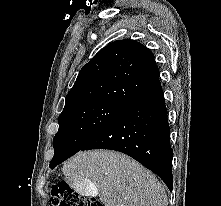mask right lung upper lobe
Wrapping results in <instances>:
<instances>
[{
    "instance_id": "1",
    "label": "right lung upper lobe",
    "mask_w": 221,
    "mask_h": 206,
    "mask_svg": "<svg viewBox=\"0 0 221 206\" xmlns=\"http://www.w3.org/2000/svg\"><path fill=\"white\" fill-rule=\"evenodd\" d=\"M159 83L149 49L134 40L115 41L80 70L62 112L94 103L126 107Z\"/></svg>"
}]
</instances>
